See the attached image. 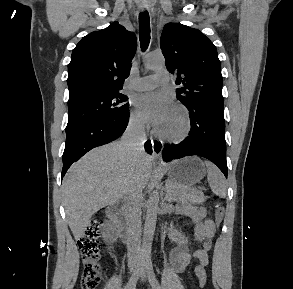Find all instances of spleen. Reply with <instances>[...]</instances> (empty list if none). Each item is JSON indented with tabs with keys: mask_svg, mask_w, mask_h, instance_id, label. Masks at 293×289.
I'll return each mask as SVG.
<instances>
[{
	"mask_svg": "<svg viewBox=\"0 0 293 289\" xmlns=\"http://www.w3.org/2000/svg\"><path fill=\"white\" fill-rule=\"evenodd\" d=\"M207 167V180L212 192L220 198H225L227 194V184L220 170L210 162H205Z\"/></svg>",
	"mask_w": 293,
	"mask_h": 289,
	"instance_id": "1",
	"label": "spleen"
}]
</instances>
